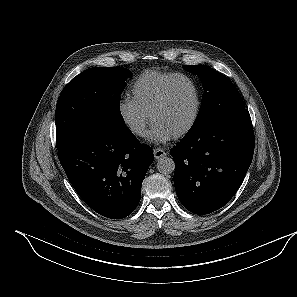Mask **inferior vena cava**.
I'll return each instance as SVG.
<instances>
[{
  "mask_svg": "<svg viewBox=\"0 0 297 297\" xmlns=\"http://www.w3.org/2000/svg\"><path fill=\"white\" fill-rule=\"evenodd\" d=\"M131 130L133 132H136L138 134H143L145 131V125L144 123L138 122V123H133L131 125Z\"/></svg>",
  "mask_w": 297,
  "mask_h": 297,
  "instance_id": "inferior-vena-cava-1",
  "label": "inferior vena cava"
}]
</instances>
